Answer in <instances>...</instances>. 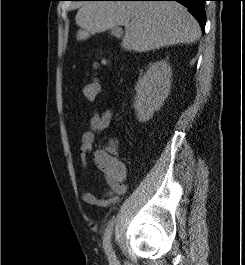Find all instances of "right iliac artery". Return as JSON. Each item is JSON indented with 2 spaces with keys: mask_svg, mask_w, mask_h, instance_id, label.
Wrapping results in <instances>:
<instances>
[{
  "mask_svg": "<svg viewBox=\"0 0 245 265\" xmlns=\"http://www.w3.org/2000/svg\"><path fill=\"white\" fill-rule=\"evenodd\" d=\"M113 227H114V219L111 220L110 223L108 224L103 238V247L110 261L115 260V255L111 247V235Z\"/></svg>",
  "mask_w": 245,
  "mask_h": 265,
  "instance_id": "82829eb1",
  "label": "right iliac artery"
}]
</instances>
